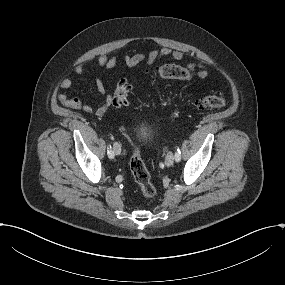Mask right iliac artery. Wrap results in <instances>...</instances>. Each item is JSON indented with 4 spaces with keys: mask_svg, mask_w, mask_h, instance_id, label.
<instances>
[{
    "mask_svg": "<svg viewBox=\"0 0 285 285\" xmlns=\"http://www.w3.org/2000/svg\"><path fill=\"white\" fill-rule=\"evenodd\" d=\"M107 154L109 158H114V152L112 151L111 145H108L107 147Z\"/></svg>",
    "mask_w": 285,
    "mask_h": 285,
    "instance_id": "82829eb1",
    "label": "right iliac artery"
}]
</instances>
